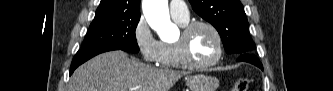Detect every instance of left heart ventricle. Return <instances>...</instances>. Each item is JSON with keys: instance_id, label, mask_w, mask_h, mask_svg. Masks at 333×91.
Returning <instances> with one entry per match:
<instances>
[{"instance_id": "left-heart-ventricle-1", "label": "left heart ventricle", "mask_w": 333, "mask_h": 91, "mask_svg": "<svg viewBox=\"0 0 333 91\" xmlns=\"http://www.w3.org/2000/svg\"><path fill=\"white\" fill-rule=\"evenodd\" d=\"M190 54L198 63L207 62L216 56L217 41L209 29L198 27L194 30L190 39Z\"/></svg>"}]
</instances>
